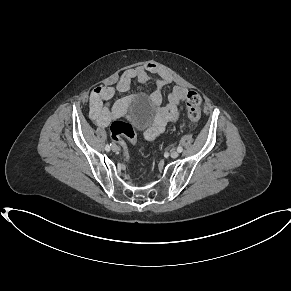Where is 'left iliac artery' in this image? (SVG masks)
Listing matches in <instances>:
<instances>
[{
	"mask_svg": "<svg viewBox=\"0 0 291 291\" xmlns=\"http://www.w3.org/2000/svg\"><path fill=\"white\" fill-rule=\"evenodd\" d=\"M177 151H178L179 153H181V152L183 151V148H182L181 146H179V147L177 148Z\"/></svg>",
	"mask_w": 291,
	"mask_h": 291,
	"instance_id": "1",
	"label": "left iliac artery"
}]
</instances>
